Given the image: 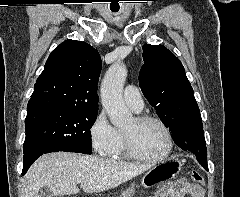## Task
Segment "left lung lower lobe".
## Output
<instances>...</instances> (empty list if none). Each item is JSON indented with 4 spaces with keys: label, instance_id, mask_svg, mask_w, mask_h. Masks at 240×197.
Instances as JSON below:
<instances>
[{
    "label": "left lung lower lobe",
    "instance_id": "obj_1",
    "mask_svg": "<svg viewBox=\"0 0 240 197\" xmlns=\"http://www.w3.org/2000/svg\"><path fill=\"white\" fill-rule=\"evenodd\" d=\"M198 125H192L183 129H180L179 132L174 137L176 144L183 149L185 145H188L190 142L198 141L200 138H203L204 131L198 128ZM185 142V144H183ZM184 150V149H183ZM199 163L203 166L204 169L208 170L207 158L197 157Z\"/></svg>",
    "mask_w": 240,
    "mask_h": 197
}]
</instances>
